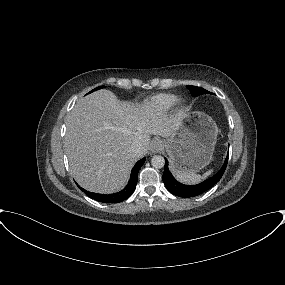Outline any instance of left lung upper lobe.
<instances>
[{
	"mask_svg": "<svg viewBox=\"0 0 285 285\" xmlns=\"http://www.w3.org/2000/svg\"><path fill=\"white\" fill-rule=\"evenodd\" d=\"M187 88L190 90L191 95L194 97L199 96L201 94H212L211 92H209V91H207L201 87L187 85Z\"/></svg>",
	"mask_w": 285,
	"mask_h": 285,
	"instance_id": "left-lung-upper-lobe-1",
	"label": "left lung upper lobe"
}]
</instances>
